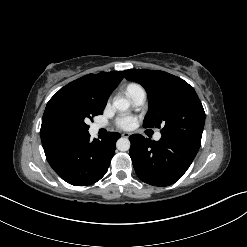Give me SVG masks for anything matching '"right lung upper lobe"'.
<instances>
[{
    "mask_svg": "<svg viewBox=\"0 0 247 247\" xmlns=\"http://www.w3.org/2000/svg\"><path fill=\"white\" fill-rule=\"evenodd\" d=\"M123 77L122 71L88 74L70 82L55 93L47 103L42 119L40 134L43 148L82 138L65 137L53 128L51 116L60 104L81 99L91 103L96 108L104 109L108 97Z\"/></svg>",
    "mask_w": 247,
    "mask_h": 247,
    "instance_id": "right-lung-upper-lobe-1",
    "label": "right lung upper lobe"
}]
</instances>
